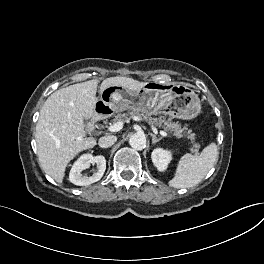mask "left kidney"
<instances>
[{
    "label": "left kidney",
    "mask_w": 264,
    "mask_h": 264,
    "mask_svg": "<svg viewBox=\"0 0 264 264\" xmlns=\"http://www.w3.org/2000/svg\"><path fill=\"white\" fill-rule=\"evenodd\" d=\"M152 161L159 171L166 170L170 160L172 159V154L168 150L162 148H156L151 154Z\"/></svg>",
    "instance_id": "left-kidney-1"
}]
</instances>
